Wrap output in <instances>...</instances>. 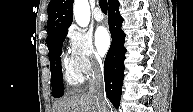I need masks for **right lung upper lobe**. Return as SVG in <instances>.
I'll return each instance as SVG.
<instances>
[{
    "mask_svg": "<svg viewBox=\"0 0 193 112\" xmlns=\"http://www.w3.org/2000/svg\"><path fill=\"white\" fill-rule=\"evenodd\" d=\"M74 0H51L48 5L47 46L61 33L68 31L73 20ZM116 0H108L109 5Z\"/></svg>",
    "mask_w": 193,
    "mask_h": 112,
    "instance_id": "right-lung-upper-lobe-1",
    "label": "right lung upper lobe"
}]
</instances>
